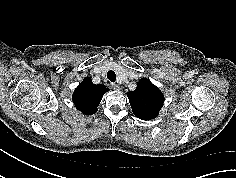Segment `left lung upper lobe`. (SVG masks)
Wrapping results in <instances>:
<instances>
[{"mask_svg": "<svg viewBox=\"0 0 236 178\" xmlns=\"http://www.w3.org/2000/svg\"><path fill=\"white\" fill-rule=\"evenodd\" d=\"M133 113L140 119L151 120L163 106L164 96L149 79L142 78L134 91L128 93Z\"/></svg>", "mask_w": 236, "mask_h": 178, "instance_id": "obj_1", "label": "left lung upper lobe"}]
</instances>
